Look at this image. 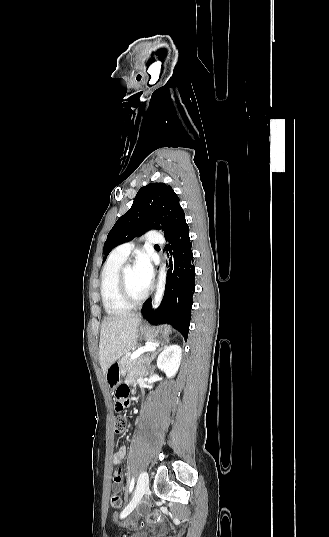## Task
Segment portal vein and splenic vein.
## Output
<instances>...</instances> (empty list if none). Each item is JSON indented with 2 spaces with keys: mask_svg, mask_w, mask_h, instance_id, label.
Masks as SVG:
<instances>
[{
  "mask_svg": "<svg viewBox=\"0 0 329 537\" xmlns=\"http://www.w3.org/2000/svg\"><path fill=\"white\" fill-rule=\"evenodd\" d=\"M154 349H155V346L142 347V348L138 349L137 351H135L134 353H132V355L130 356V360L131 361L136 360L143 353H145L147 351H153Z\"/></svg>",
  "mask_w": 329,
  "mask_h": 537,
  "instance_id": "18ae733b",
  "label": "portal vein and splenic vein"
}]
</instances>
